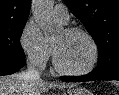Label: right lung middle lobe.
Returning <instances> with one entry per match:
<instances>
[{
	"mask_svg": "<svg viewBox=\"0 0 119 95\" xmlns=\"http://www.w3.org/2000/svg\"><path fill=\"white\" fill-rule=\"evenodd\" d=\"M26 21L0 26V59H24L20 37Z\"/></svg>",
	"mask_w": 119,
	"mask_h": 95,
	"instance_id": "dd1d6c3e",
	"label": "right lung middle lobe"
}]
</instances>
